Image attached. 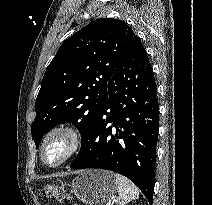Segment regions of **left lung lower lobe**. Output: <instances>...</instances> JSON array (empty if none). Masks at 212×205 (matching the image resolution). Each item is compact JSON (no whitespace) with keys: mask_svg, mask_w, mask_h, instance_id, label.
<instances>
[{"mask_svg":"<svg viewBox=\"0 0 212 205\" xmlns=\"http://www.w3.org/2000/svg\"><path fill=\"white\" fill-rule=\"evenodd\" d=\"M159 104L153 70L135 35L108 82V99L71 169L100 168L129 178L153 202Z\"/></svg>","mask_w":212,"mask_h":205,"instance_id":"obj_1","label":"left lung lower lobe"}]
</instances>
